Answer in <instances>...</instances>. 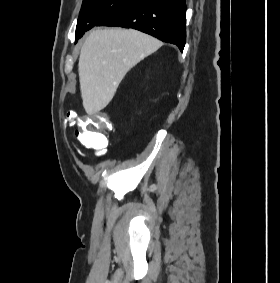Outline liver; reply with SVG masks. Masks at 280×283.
<instances>
[{
  "mask_svg": "<svg viewBox=\"0 0 280 283\" xmlns=\"http://www.w3.org/2000/svg\"><path fill=\"white\" fill-rule=\"evenodd\" d=\"M160 46L157 39L133 29L93 30L81 48L78 63L86 113L104 109L126 73Z\"/></svg>",
  "mask_w": 280,
  "mask_h": 283,
  "instance_id": "obj_1",
  "label": "liver"
}]
</instances>
